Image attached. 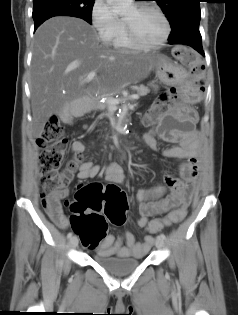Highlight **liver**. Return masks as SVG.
<instances>
[{"mask_svg": "<svg viewBox=\"0 0 238 315\" xmlns=\"http://www.w3.org/2000/svg\"><path fill=\"white\" fill-rule=\"evenodd\" d=\"M160 59L159 54L125 55L100 44L94 28L80 18L45 21L35 33L31 63L33 136L41 137L51 116L68 121L78 107H90L89 96L147 78ZM90 72L96 76L86 87Z\"/></svg>", "mask_w": 238, "mask_h": 315, "instance_id": "liver-1", "label": "liver"}]
</instances>
